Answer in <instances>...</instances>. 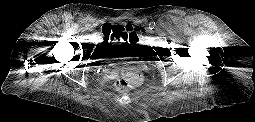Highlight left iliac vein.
Returning <instances> with one entry per match:
<instances>
[{"instance_id": "1", "label": "left iliac vein", "mask_w": 255, "mask_h": 122, "mask_svg": "<svg viewBox=\"0 0 255 122\" xmlns=\"http://www.w3.org/2000/svg\"><path fill=\"white\" fill-rule=\"evenodd\" d=\"M147 32H148L149 34H153V33H154V30L151 29V28H148V29H147Z\"/></svg>"}]
</instances>
